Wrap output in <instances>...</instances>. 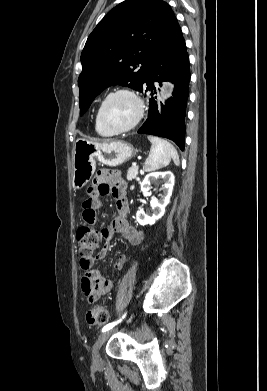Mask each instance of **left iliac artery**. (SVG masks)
<instances>
[{
    "label": "left iliac artery",
    "mask_w": 267,
    "mask_h": 391,
    "mask_svg": "<svg viewBox=\"0 0 267 391\" xmlns=\"http://www.w3.org/2000/svg\"><path fill=\"white\" fill-rule=\"evenodd\" d=\"M125 316H126V314L123 315L122 319L125 318ZM122 319L107 324L106 326L103 327L102 332L107 331V330L113 328L116 324H118L119 322H121Z\"/></svg>",
    "instance_id": "left-iliac-artery-1"
}]
</instances>
